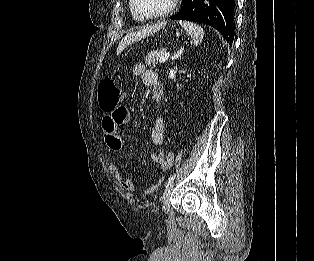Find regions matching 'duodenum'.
Instances as JSON below:
<instances>
[{"instance_id":"410a0bca","label":"duodenum","mask_w":314,"mask_h":261,"mask_svg":"<svg viewBox=\"0 0 314 261\" xmlns=\"http://www.w3.org/2000/svg\"><path fill=\"white\" fill-rule=\"evenodd\" d=\"M158 97H159V98H162V95L159 94Z\"/></svg>"}]
</instances>
